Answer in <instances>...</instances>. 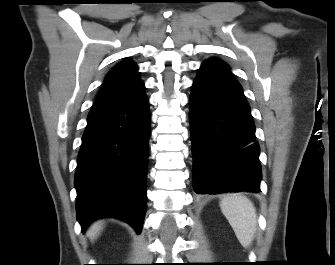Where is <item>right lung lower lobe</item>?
<instances>
[{
    "label": "right lung lower lobe",
    "mask_w": 335,
    "mask_h": 265,
    "mask_svg": "<svg viewBox=\"0 0 335 265\" xmlns=\"http://www.w3.org/2000/svg\"><path fill=\"white\" fill-rule=\"evenodd\" d=\"M150 137L145 92L91 108L75 173L77 219L84 232L100 217H116L140 233L146 211Z\"/></svg>",
    "instance_id": "obj_1"
}]
</instances>
